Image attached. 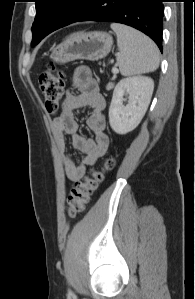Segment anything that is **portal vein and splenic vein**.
Masks as SVG:
<instances>
[{
  "label": "portal vein and splenic vein",
  "instance_id": "18ae733b",
  "mask_svg": "<svg viewBox=\"0 0 195 299\" xmlns=\"http://www.w3.org/2000/svg\"><path fill=\"white\" fill-rule=\"evenodd\" d=\"M119 72V70L116 68V67H113L112 68V73L113 74H117Z\"/></svg>",
  "mask_w": 195,
  "mask_h": 299
}]
</instances>
